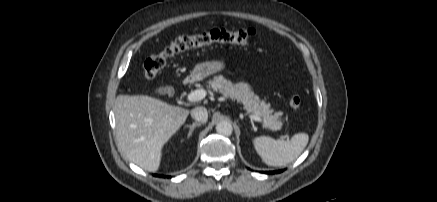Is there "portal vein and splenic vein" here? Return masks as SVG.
<instances>
[{"label": "portal vein and splenic vein", "mask_w": 437, "mask_h": 202, "mask_svg": "<svg viewBox=\"0 0 437 202\" xmlns=\"http://www.w3.org/2000/svg\"><path fill=\"white\" fill-rule=\"evenodd\" d=\"M205 96H206V91L202 89H198L189 93L187 96V100L189 102H196L202 100L203 98H205ZM250 118L254 121L262 122V118L260 116L250 115Z\"/></svg>", "instance_id": "obj_1"}]
</instances>
